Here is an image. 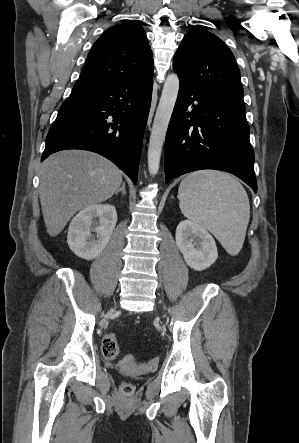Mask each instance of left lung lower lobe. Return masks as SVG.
Instances as JSON below:
<instances>
[{
	"label": "left lung lower lobe",
	"mask_w": 299,
	"mask_h": 443,
	"mask_svg": "<svg viewBox=\"0 0 299 443\" xmlns=\"http://www.w3.org/2000/svg\"><path fill=\"white\" fill-rule=\"evenodd\" d=\"M245 106L180 79L165 141V180L201 169L232 173L256 193Z\"/></svg>",
	"instance_id": "0a47b994"
}]
</instances>
